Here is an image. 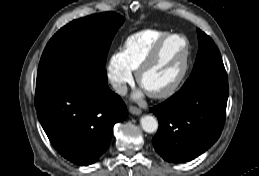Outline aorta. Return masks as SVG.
I'll list each match as a JSON object with an SVG mask.
<instances>
[{
    "label": "aorta",
    "mask_w": 259,
    "mask_h": 176,
    "mask_svg": "<svg viewBox=\"0 0 259 176\" xmlns=\"http://www.w3.org/2000/svg\"><path fill=\"white\" fill-rule=\"evenodd\" d=\"M140 124L143 130L147 133H154L158 129V121L151 115L142 116Z\"/></svg>",
    "instance_id": "aorta-1"
}]
</instances>
